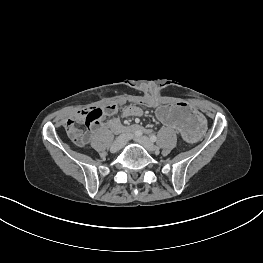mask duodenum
I'll return each instance as SVG.
<instances>
[{
  "instance_id": "obj_1",
  "label": "duodenum",
  "mask_w": 263,
  "mask_h": 263,
  "mask_svg": "<svg viewBox=\"0 0 263 263\" xmlns=\"http://www.w3.org/2000/svg\"><path fill=\"white\" fill-rule=\"evenodd\" d=\"M110 129L120 130L121 132H132L135 130H141L139 125L121 126L118 122L113 121L109 124Z\"/></svg>"
}]
</instances>
